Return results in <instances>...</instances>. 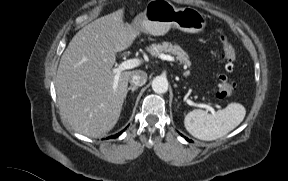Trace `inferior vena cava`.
Returning a JSON list of instances; mask_svg holds the SVG:
<instances>
[{
    "label": "inferior vena cava",
    "mask_w": 288,
    "mask_h": 181,
    "mask_svg": "<svg viewBox=\"0 0 288 181\" xmlns=\"http://www.w3.org/2000/svg\"><path fill=\"white\" fill-rule=\"evenodd\" d=\"M147 81V73L142 70H136L131 75L130 83L134 86H143Z\"/></svg>",
    "instance_id": "obj_1"
}]
</instances>
